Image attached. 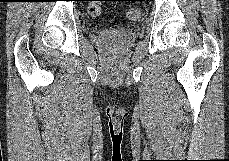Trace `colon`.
<instances>
[{"label": "colon", "instance_id": "5ec220e1", "mask_svg": "<svg viewBox=\"0 0 229 161\" xmlns=\"http://www.w3.org/2000/svg\"><path fill=\"white\" fill-rule=\"evenodd\" d=\"M102 12L101 8V0H90L89 6H88V13L91 16H99ZM140 9L137 7H131L127 10L126 16L130 20H137L140 17Z\"/></svg>", "mask_w": 229, "mask_h": 161}]
</instances>
